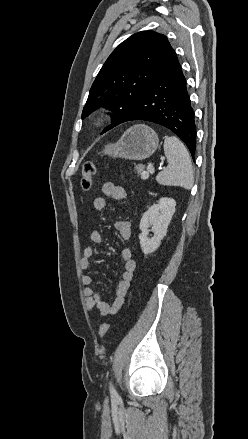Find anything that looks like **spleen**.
Wrapping results in <instances>:
<instances>
[{"instance_id":"1","label":"spleen","mask_w":248,"mask_h":439,"mask_svg":"<svg viewBox=\"0 0 248 439\" xmlns=\"http://www.w3.org/2000/svg\"><path fill=\"white\" fill-rule=\"evenodd\" d=\"M164 152L168 166L158 173L157 182L190 190L194 184V176L191 158L184 144L174 136L167 137L164 141Z\"/></svg>"}]
</instances>
